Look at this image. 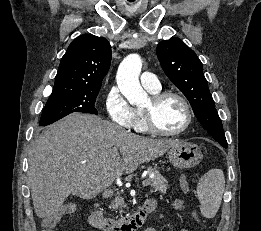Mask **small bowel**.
I'll list each match as a JSON object with an SVG mask.
<instances>
[{"label":"small bowel","mask_w":261,"mask_h":231,"mask_svg":"<svg viewBox=\"0 0 261 231\" xmlns=\"http://www.w3.org/2000/svg\"><path fill=\"white\" fill-rule=\"evenodd\" d=\"M181 180L186 184V187L183 189V191L187 192L188 191V184H187V181H186L185 177H182ZM148 201L153 203L154 207L157 205L156 199L152 198V199H149ZM175 208L179 209V210H183L185 208L183 201L182 200H177L175 202ZM143 231H156V230L154 228H147V229H145ZM179 231H190V230L185 228V229H181Z\"/></svg>","instance_id":"obj_1"}]
</instances>
